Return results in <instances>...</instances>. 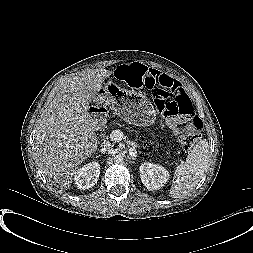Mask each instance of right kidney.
<instances>
[{
    "mask_svg": "<svg viewBox=\"0 0 253 253\" xmlns=\"http://www.w3.org/2000/svg\"><path fill=\"white\" fill-rule=\"evenodd\" d=\"M100 175V165L98 162H90L74 173L76 186L81 190L93 187Z\"/></svg>",
    "mask_w": 253,
    "mask_h": 253,
    "instance_id": "obj_1",
    "label": "right kidney"
}]
</instances>
